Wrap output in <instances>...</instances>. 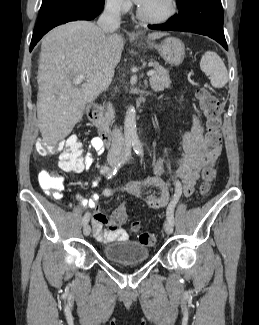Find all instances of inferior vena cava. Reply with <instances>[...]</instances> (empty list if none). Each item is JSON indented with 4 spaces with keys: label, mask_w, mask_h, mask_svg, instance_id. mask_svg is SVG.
<instances>
[{
    "label": "inferior vena cava",
    "mask_w": 259,
    "mask_h": 325,
    "mask_svg": "<svg viewBox=\"0 0 259 325\" xmlns=\"http://www.w3.org/2000/svg\"><path fill=\"white\" fill-rule=\"evenodd\" d=\"M121 4L122 0H112L107 3L103 13L97 21L100 27L106 34L115 31L120 26L121 21ZM124 148V136L120 129L114 128L112 132L111 151L121 150Z\"/></svg>",
    "instance_id": "inferior-vena-cava-1"
}]
</instances>
